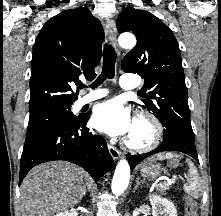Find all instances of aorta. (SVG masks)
I'll return each instance as SVG.
<instances>
[{
    "mask_svg": "<svg viewBox=\"0 0 221 216\" xmlns=\"http://www.w3.org/2000/svg\"><path fill=\"white\" fill-rule=\"evenodd\" d=\"M119 45L122 48L131 49L136 45V38L133 34L125 33L119 36ZM130 179V166L125 159L118 162L111 184L113 194L121 195L128 187Z\"/></svg>",
    "mask_w": 221,
    "mask_h": 216,
    "instance_id": "762f6f07",
    "label": "aorta"
}]
</instances>
